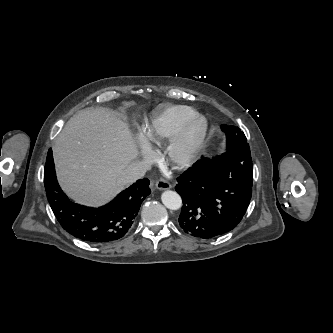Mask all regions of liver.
<instances>
[{"label": "liver", "mask_w": 333, "mask_h": 333, "mask_svg": "<svg viewBox=\"0 0 333 333\" xmlns=\"http://www.w3.org/2000/svg\"><path fill=\"white\" fill-rule=\"evenodd\" d=\"M58 181L75 201L100 206L124 187L122 172L138 156L127 125L106 108L73 116L55 139Z\"/></svg>", "instance_id": "obj_1"}]
</instances>
